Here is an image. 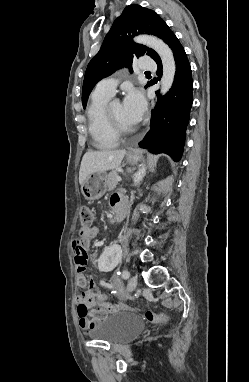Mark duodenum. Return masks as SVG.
Returning a JSON list of instances; mask_svg holds the SVG:
<instances>
[{"mask_svg":"<svg viewBox=\"0 0 249 382\" xmlns=\"http://www.w3.org/2000/svg\"><path fill=\"white\" fill-rule=\"evenodd\" d=\"M114 213L111 222H121L126 216V202L121 199L114 205Z\"/></svg>","mask_w":249,"mask_h":382,"instance_id":"obj_1","label":"duodenum"}]
</instances>
